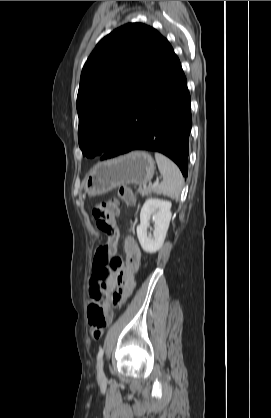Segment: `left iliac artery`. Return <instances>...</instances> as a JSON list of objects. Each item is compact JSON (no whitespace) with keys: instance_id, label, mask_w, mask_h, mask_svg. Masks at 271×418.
I'll return each mask as SVG.
<instances>
[{"instance_id":"left-iliac-artery-1","label":"left iliac artery","mask_w":271,"mask_h":418,"mask_svg":"<svg viewBox=\"0 0 271 418\" xmlns=\"http://www.w3.org/2000/svg\"><path fill=\"white\" fill-rule=\"evenodd\" d=\"M103 353H104V349L103 348H100L99 349V352H98V355H97V360H100L102 358Z\"/></svg>"}]
</instances>
